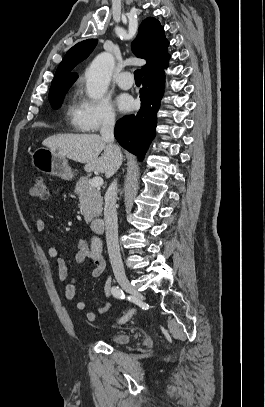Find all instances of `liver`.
Segmentation results:
<instances>
[{
	"label": "liver",
	"instance_id": "1",
	"mask_svg": "<svg viewBox=\"0 0 265 407\" xmlns=\"http://www.w3.org/2000/svg\"><path fill=\"white\" fill-rule=\"evenodd\" d=\"M42 144L61 156L84 163L86 171L104 173L107 178L114 174L122 162L114 146L98 134H58L46 138Z\"/></svg>",
	"mask_w": 265,
	"mask_h": 407
}]
</instances>
